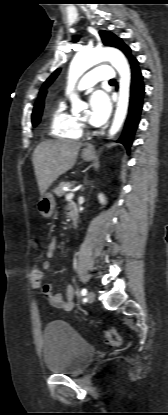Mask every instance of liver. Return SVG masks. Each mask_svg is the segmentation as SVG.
<instances>
[{
    "mask_svg": "<svg viewBox=\"0 0 168 415\" xmlns=\"http://www.w3.org/2000/svg\"><path fill=\"white\" fill-rule=\"evenodd\" d=\"M81 146L75 141L47 140L36 147L32 162L41 195L59 176L74 166Z\"/></svg>",
    "mask_w": 168,
    "mask_h": 415,
    "instance_id": "obj_1",
    "label": "liver"
}]
</instances>
